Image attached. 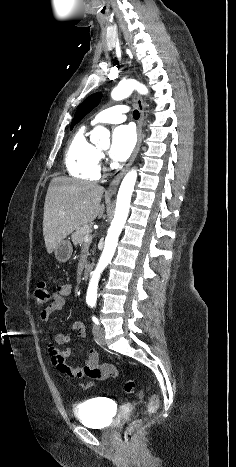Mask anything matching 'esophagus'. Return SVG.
I'll use <instances>...</instances> for the list:
<instances>
[{"instance_id": "obj_1", "label": "esophagus", "mask_w": 236, "mask_h": 467, "mask_svg": "<svg viewBox=\"0 0 236 467\" xmlns=\"http://www.w3.org/2000/svg\"><path fill=\"white\" fill-rule=\"evenodd\" d=\"M136 104H137V107H138V110H139V113H140V118L138 120V124H137V144L135 146V149L132 153V156L129 160V162L127 163V165L122 169V171L112 180V182L110 183L108 189H107V194L109 195H114L116 192H117V189H118V186L123 178V176L125 175V173L128 171V169L130 168V166L132 165V163L134 162L136 156H137V153L139 151V148H140V145H141V141H142V126H143V122H144V113H145V103L143 102V99L141 96L137 95L136 96Z\"/></svg>"}]
</instances>
